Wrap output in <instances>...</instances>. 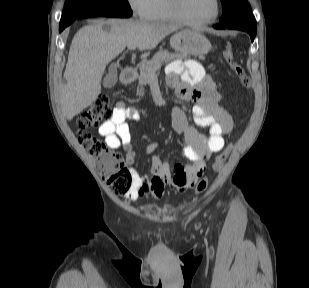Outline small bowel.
<instances>
[{
	"mask_svg": "<svg viewBox=\"0 0 309 288\" xmlns=\"http://www.w3.org/2000/svg\"><path fill=\"white\" fill-rule=\"evenodd\" d=\"M168 84L183 100L193 103L192 114L197 125L207 129V135H201L190 125L185 111L176 107L173 112V126L186 143L183 148L184 156L190 164H176L172 169L166 162L153 156V176L148 179L141 176L133 167H130L132 185L124 197L134 201L139 197L151 196L158 199L163 196L165 186L171 181L172 186L179 192L193 188L206 170V161L224 148V137L232 130L231 116L219 104V93L210 79L205 75L200 63L195 60L185 62L175 61L168 67ZM128 119L141 120L139 111L128 107L125 100L117 101L112 116L99 127V135L112 149L122 147L126 152V161L132 165L135 161L131 141ZM156 144L147 148L152 153Z\"/></svg>",
	"mask_w": 309,
	"mask_h": 288,
	"instance_id": "small-bowel-1",
	"label": "small bowel"
}]
</instances>
